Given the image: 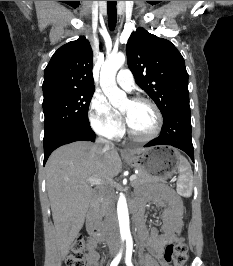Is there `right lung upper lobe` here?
Returning a JSON list of instances; mask_svg holds the SVG:
<instances>
[{
    "label": "right lung upper lobe",
    "mask_w": 233,
    "mask_h": 266,
    "mask_svg": "<svg viewBox=\"0 0 233 266\" xmlns=\"http://www.w3.org/2000/svg\"><path fill=\"white\" fill-rule=\"evenodd\" d=\"M93 51L81 36L60 47L45 68L44 96L65 91L95 89L92 75Z\"/></svg>",
    "instance_id": "right-lung-upper-lobe-1"
}]
</instances>
